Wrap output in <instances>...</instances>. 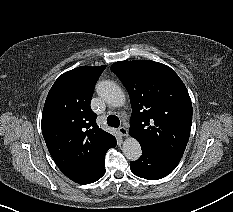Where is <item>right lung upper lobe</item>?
<instances>
[{
    "mask_svg": "<svg viewBox=\"0 0 233 212\" xmlns=\"http://www.w3.org/2000/svg\"><path fill=\"white\" fill-rule=\"evenodd\" d=\"M105 68L82 66L62 74L42 113V133L52 158L79 184L93 181L114 137L98 127L90 108L94 85Z\"/></svg>",
    "mask_w": 233,
    "mask_h": 212,
    "instance_id": "right-lung-upper-lobe-1",
    "label": "right lung upper lobe"
}]
</instances>
